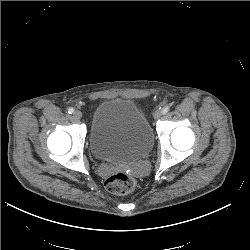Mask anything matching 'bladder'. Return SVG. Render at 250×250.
<instances>
[{
	"instance_id": "bladder-1",
	"label": "bladder",
	"mask_w": 250,
	"mask_h": 250,
	"mask_svg": "<svg viewBox=\"0 0 250 250\" xmlns=\"http://www.w3.org/2000/svg\"><path fill=\"white\" fill-rule=\"evenodd\" d=\"M88 143L96 159L129 164L150 152L153 132L147 116L134 101L106 99L92 113Z\"/></svg>"
}]
</instances>
